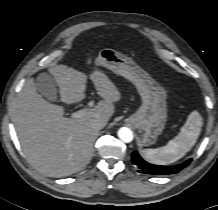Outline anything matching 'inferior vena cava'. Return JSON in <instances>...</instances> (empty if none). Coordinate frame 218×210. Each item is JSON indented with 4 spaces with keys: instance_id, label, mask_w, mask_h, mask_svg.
<instances>
[{
    "instance_id": "1",
    "label": "inferior vena cava",
    "mask_w": 218,
    "mask_h": 210,
    "mask_svg": "<svg viewBox=\"0 0 218 210\" xmlns=\"http://www.w3.org/2000/svg\"><path fill=\"white\" fill-rule=\"evenodd\" d=\"M107 124V121L106 120H96L93 122V127L97 130H100L102 128H104Z\"/></svg>"
}]
</instances>
